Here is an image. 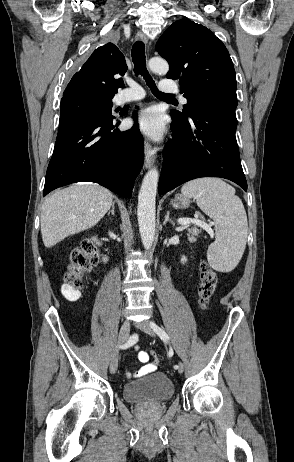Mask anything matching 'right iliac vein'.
Here are the masks:
<instances>
[{"label":"right iliac vein","instance_id":"obj_1","mask_svg":"<svg viewBox=\"0 0 294 462\" xmlns=\"http://www.w3.org/2000/svg\"><path fill=\"white\" fill-rule=\"evenodd\" d=\"M131 324L129 320H125L121 326L119 337H118V346L123 344L129 336ZM118 353L119 349L116 347L113 351L111 361H110V372L112 374L116 373L118 368Z\"/></svg>","mask_w":294,"mask_h":462}]
</instances>
